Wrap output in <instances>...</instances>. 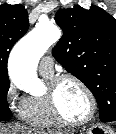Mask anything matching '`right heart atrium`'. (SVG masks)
I'll use <instances>...</instances> for the list:
<instances>
[{
    "mask_svg": "<svg viewBox=\"0 0 116 134\" xmlns=\"http://www.w3.org/2000/svg\"><path fill=\"white\" fill-rule=\"evenodd\" d=\"M5 98L10 108L17 114L22 115L28 107L29 98L21 94L12 82L6 88Z\"/></svg>",
    "mask_w": 116,
    "mask_h": 134,
    "instance_id": "obj_1",
    "label": "right heart atrium"
}]
</instances>
